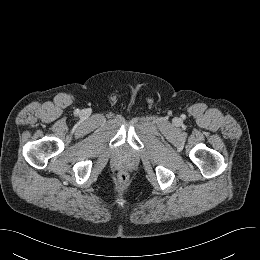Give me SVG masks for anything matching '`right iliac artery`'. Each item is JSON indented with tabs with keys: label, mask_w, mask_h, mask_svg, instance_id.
I'll return each mask as SVG.
<instances>
[{
	"label": "right iliac artery",
	"mask_w": 260,
	"mask_h": 260,
	"mask_svg": "<svg viewBox=\"0 0 260 260\" xmlns=\"http://www.w3.org/2000/svg\"><path fill=\"white\" fill-rule=\"evenodd\" d=\"M78 113H79V111L77 110V111H76V114H78Z\"/></svg>",
	"instance_id": "82829eb1"
}]
</instances>
